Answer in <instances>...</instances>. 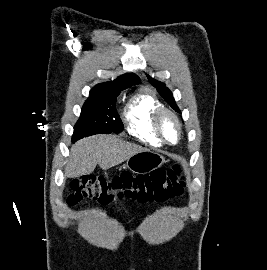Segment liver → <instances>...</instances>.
<instances>
[{
	"mask_svg": "<svg viewBox=\"0 0 267 270\" xmlns=\"http://www.w3.org/2000/svg\"><path fill=\"white\" fill-rule=\"evenodd\" d=\"M145 150L147 149L140 145L110 135L84 138L72 146L65 176L73 178L88 175L97 164L107 170Z\"/></svg>",
	"mask_w": 267,
	"mask_h": 270,
	"instance_id": "6515ba94",
	"label": "liver"
}]
</instances>
